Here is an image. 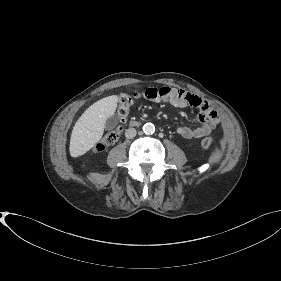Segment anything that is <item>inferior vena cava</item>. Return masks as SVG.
I'll return each mask as SVG.
<instances>
[{"label": "inferior vena cava", "mask_w": 281, "mask_h": 281, "mask_svg": "<svg viewBox=\"0 0 281 281\" xmlns=\"http://www.w3.org/2000/svg\"><path fill=\"white\" fill-rule=\"evenodd\" d=\"M136 129L135 128H129L125 132V137L128 139L134 138L136 136Z\"/></svg>", "instance_id": "602c4592"}]
</instances>
